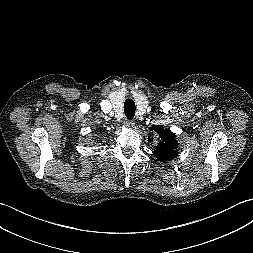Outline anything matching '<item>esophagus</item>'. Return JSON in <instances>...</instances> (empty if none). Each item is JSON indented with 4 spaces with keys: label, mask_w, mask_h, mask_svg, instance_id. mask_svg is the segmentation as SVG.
I'll use <instances>...</instances> for the list:
<instances>
[{
    "label": "esophagus",
    "mask_w": 253,
    "mask_h": 253,
    "mask_svg": "<svg viewBox=\"0 0 253 253\" xmlns=\"http://www.w3.org/2000/svg\"><path fill=\"white\" fill-rule=\"evenodd\" d=\"M124 125L127 127V128H133L135 126V122L133 120H126L124 122Z\"/></svg>",
    "instance_id": "obj_1"
}]
</instances>
